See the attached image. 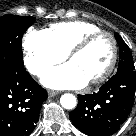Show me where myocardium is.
I'll use <instances>...</instances> for the list:
<instances>
[{
  "label": "myocardium",
  "mask_w": 136,
  "mask_h": 136,
  "mask_svg": "<svg viewBox=\"0 0 136 136\" xmlns=\"http://www.w3.org/2000/svg\"><path fill=\"white\" fill-rule=\"evenodd\" d=\"M102 35L108 36L111 40L112 57H111V60L108 64L107 68L99 76L88 81L89 84H92V85H97V84H100V83L106 81L111 76V74L113 73V71L116 67V64L118 61L119 49H118V43H117L115 36L111 32L106 31V30L95 31V32L90 33V34L84 36L83 38H81L66 54V58L70 61V59L72 57H74L77 54L84 51L96 38H98Z\"/></svg>",
  "instance_id": "f54148a6"
}]
</instances>
